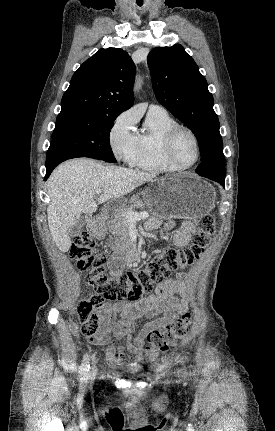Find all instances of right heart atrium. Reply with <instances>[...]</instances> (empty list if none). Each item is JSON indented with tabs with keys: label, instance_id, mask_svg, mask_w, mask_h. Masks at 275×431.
<instances>
[{
	"label": "right heart atrium",
	"instance_id": "1",
	"mask_svg": "<svg viewBox=\"0 0 275 431\" xmlns=\"http://www.w3.org/2000/svg\"><path fill=\"white\" fill-rule=\"evenodd\" d=\"M109 143L118 160L131 164L138 150V133L135 130V117L129 111L120 113L109 131Z\"/></svg>",
	"mask_w": 275,
	"mask_h": 431
}]
</instances>
